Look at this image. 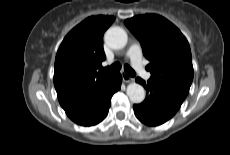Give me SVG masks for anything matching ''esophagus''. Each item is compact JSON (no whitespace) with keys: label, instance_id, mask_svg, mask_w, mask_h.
<instances>
[{"label":"esophagus","instance_id":"34e87169","mask_svg":"<svg viewBox=\"0 0 230 155\" xmlns=\"http://www.w3.org/2000/svg\"><path fill=\"white\" fill-rule=\"evenodd\" d=\"M122 78H123V81L125 83H130V82H133L134 81V78L128 76L127 74L125 73H122Z\"/></svg>","mask_w":230,"mask_h":155}]
</instances>
